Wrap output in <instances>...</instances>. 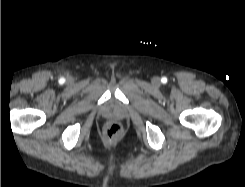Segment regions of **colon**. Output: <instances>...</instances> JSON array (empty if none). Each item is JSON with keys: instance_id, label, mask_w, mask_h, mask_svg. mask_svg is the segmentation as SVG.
Listing matches in <instances>:
<instances>
[{"instance_id": "1", "label": "colon", "mask_w": 245, "mask_h": 187, "mask_svg": "<svg viewBox=\"0 0 245 187\" xmlns=\"http://www.w3.org/2000/svg\"><path fill=\"white\" fill-rule=\"evenodd\" d=\"M104 131L108 138H114L120 133L121 127L118 123L110 122L105 125Z\"/></svg>"}]
</instances>
